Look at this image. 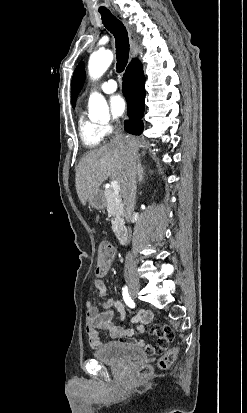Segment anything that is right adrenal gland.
I'll list each match as a JSON object with an SVG mask.
<instances>
[{
	"label": "right adrenal gland",
	"mask_w": 247,
	"mask_h": 413,
	"mask_svg": "<svg viewBox=\"0 0 247 413\" xmlns=\"http://www.w3.org/2000/svg\"><path fill=\"white\" fill-rule=\"evenodd\" d=\"M143 176H144V166H141V170H139V174H138L139 184L141 180H143Z\"/></svg>",
	"instance_id": "right-adrenal-gland-1"
}]
</instances>
